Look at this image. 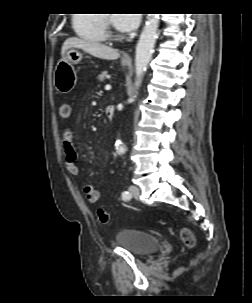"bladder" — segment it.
Masks as SVG:
<instances>
[{"instance_id":"bladder-1","label":"bladder","mask_w":252,"mask_h":303,"mask_svg":"<svg viewBox=\"0 0 252 303\" xmlns=\"http://www.w3.org/2000/svg\"><path fill=\"white\" fill-rule=\"evenodd\" d=\"M115 242L140 257H146L161 247L158 237L139 230H123L115 236Z\"/></svg>"}]
</instances>
